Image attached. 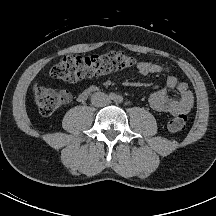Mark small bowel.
<instances>
[{"mask_svg": "<svg viewBox=\"0 0 216 216\" xmlns=\"http://www.w3.org/2000/svg\"><path fill=\"white\" fill-rule=\"evenodd\" d=\"M137 69L142 75L169 74L170 68L152 61L138 63ZM171 90L179 92L178 97L170 94ZM89 89L84 90L78 96L79 101L86 100ZM150 107L158 112L171 115L186 114L191 111L194 105V96L186 82L179 81L177 77L169 74L166 78V87L151 93L148 97Z\"/></svg>", "mask_w": 216, "mask_h": 216, "instance_id": "obj_1", "label": "small bowel"}]
</instances>
